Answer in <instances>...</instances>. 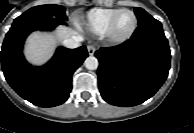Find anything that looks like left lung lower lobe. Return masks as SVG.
I'll use <instances>...</instances> for the list:
<instances>
[{"label":"left lung lower lobe","instance_id":"1","mask_svg":"<svg viewBox=\"0 0 194 133\" xmlns=\"http://www.w3.org/2000/svg\"><path fill=\"white\" fill-rule=\"evenodd\" d=\"M95 56L100 93L115 106H135L152 97L170 69L168 41L154 18L139 24L126 42L100 48Z\"/></svg>","mask_w":194,"mask_h":133}]
</instances>
